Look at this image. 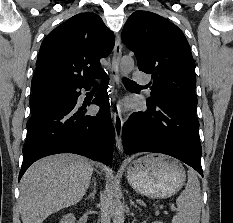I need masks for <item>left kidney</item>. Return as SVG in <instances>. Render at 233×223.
Returning <instances> with one entry per match:
<instances>
[{
	"label": "left kidney",
	"mask_w": 233,
	"mask_h": 223,
	"mask_svg": "<svg viewBox=\"0 0 233 223\" xmlns=\"http://www.w3.org/2000/svg\"><path fill=\"white\" fill-rule=\"evenodd\" d=\"M152 223H163V221H152Z\"/></svg>",
	"instance_id": "1"
}]
</instances>
